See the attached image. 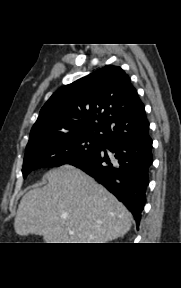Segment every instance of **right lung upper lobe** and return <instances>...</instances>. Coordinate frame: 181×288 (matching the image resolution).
Returning <instances> with one entry per match:
<instances>
[{
	"mask_svg": "<svg viewBox=\"0 0 181 288\" xmlns=\"http://www.w3.org/2000/svg\"><path fill=\"white\" fill-rule=\"evenodd\" d=\"M145 107L128 75L106 66L59 88L42 107L30 139L83 134L104 143L148 136Z\"/></svg>",
	"mask_w": 181,
	"mask_h": 288,
	"instance_id": "right-lung-upper-lobe-1",
	"label": "right lung upper lobe"
}]
</instances>
